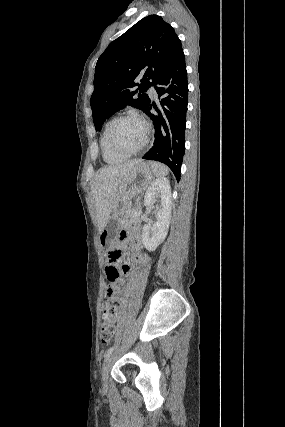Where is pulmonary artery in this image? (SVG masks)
<instances>
[{"mask_svg": "<svg viewBox=\"0 0 285 427\" xmlns=\"http://www.w3.org/2000/svg\"><path fill=\"white\" fill-rule=\"evenodd\" d=\"M151 92L154 93V89L153 88H151Z\"/></svg>", "mask_w": 285, "mask_h": 427, "instance_id": "pulmonary-artery-1", "label": "pulmonary artery"}]
</instances>
